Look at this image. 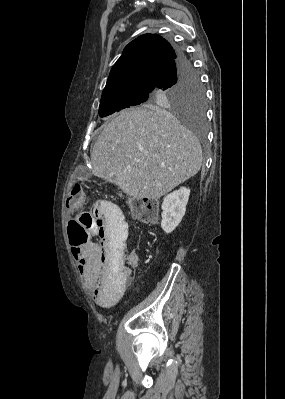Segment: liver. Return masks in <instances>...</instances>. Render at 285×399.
<instances>
[{
  "mask_svg": "<svg viewBox=\"0 0 285 399\" xmlns=\"http://www.w3.org/2000/svg\"><path fill=\"white\" fill-rule=\"evenodd\" d=\"M199 141L170 113L121 111L108 121L91 151L92 173L136 199H158L196 175Z\"/></svg>",
  "mask_w": 285,
  "mask_h": 399,
  "instance_id": "obj_1",
  "label": "liver"
}]
</instances>
